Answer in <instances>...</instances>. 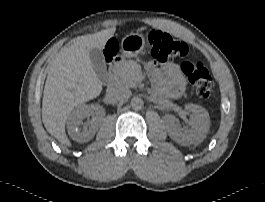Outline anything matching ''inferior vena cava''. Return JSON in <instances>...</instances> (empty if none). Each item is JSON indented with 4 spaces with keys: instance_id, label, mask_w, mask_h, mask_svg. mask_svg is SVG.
Here are the masks:
<instances>
[{
    "instance_id": "inferior-vena-cava-1",
    "label": "inferior vena cava",
    "mask_w": 265,
    "mask_h": 202,
    "mask_svg": "<svg viewBox=\"0 0 265 202\" xmlns=\"http://www.w3.org/2000/svg\"><path fill=\"white\" fill-rule=\"evenodd\" d=\"M107 95L116 103H124L130 98L131 91L124 85L114 84L107 89Z\"/></svg>"
}]
</instances>
